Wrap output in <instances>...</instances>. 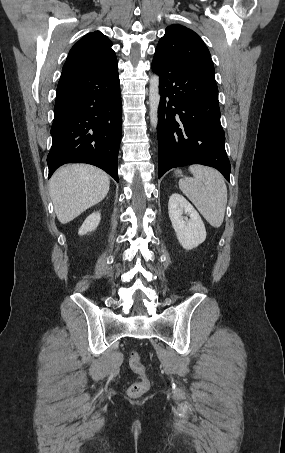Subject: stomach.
I'll return each mask as SVG.
<instances>
[{
	"label": "stomach",
	"mask_w": 285,
	"mask_h": 453,
	"mask_svg": "<svg viewBox=\"0 0 285 453\" xmlns=\"http://www.w3.org/2000/svg\"><path fill=\"white\" fill-rule=\"evenodd\" d=\"M176 174H177L178 176H180V175L182 174V172H181L180 170H177V171H176Z\"/></svg>",
	"instance_id": "1"
}]
</instances>
